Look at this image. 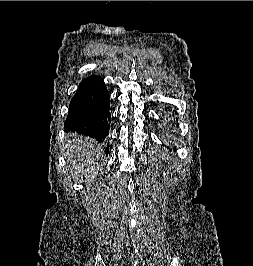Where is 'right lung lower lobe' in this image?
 <instances>
[{
  "instance_id": "98d812e1",
  "label": "right lung lower lobe",
  "mask_w": 253,
  "mask_h": 266,
  "mask_svg": "<svg viewBox=\"0 0 253 266\" xmlns=\"http://www.w3.org/2000/svg\"><path fill=\"white\" fill-rule=\"evenodd\" d=\"M109 103L110 95L100 76L92 75L83 79L70 102L64 130L106 143L105 151L108 154Z\"/></svg>"
}]
</instances>
